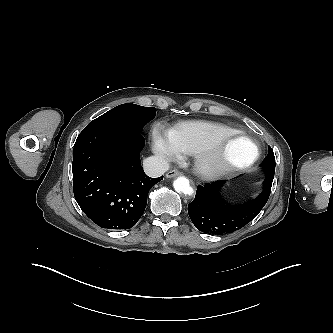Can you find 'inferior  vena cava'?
Segmentation results:
<instances>
[{
  "label": "inferior vena cava",
  "instance_id": "inferior-vena-cava-1",
  "mask_svg": "<svg viewBox=\"0 0 333 333\" xmlns=\"http://www.w3.org/2000/svg\"><path fill=\"white\" fill-rule=\"evenodd\" d=\"M143 169L149 177L157 178L169 170V163L158 156H151L143 161Z\"/></svg>",
  "mask_w": 333,
  "mask_h": 333
}]
</instances>
